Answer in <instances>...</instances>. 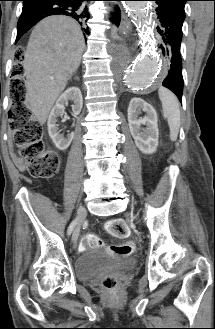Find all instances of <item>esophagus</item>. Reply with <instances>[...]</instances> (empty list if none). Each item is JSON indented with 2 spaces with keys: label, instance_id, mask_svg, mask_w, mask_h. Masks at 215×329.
<instances>
[{
  "label": "esophagus",
  "instance_id": "34e87169",
  "mask_svg": "<svg viewBox=\"0 0 215 329\" xmlns=\"http://www.w3.org/2000/svg\"><path fill=\"white\" fill-rule=\"evenodd\" d=\"M131 29H132V25L130 21L125 15H123L121 18L120 33L125 37H128Z\"/></svg>",
  "mask_w": 215,
  "mask_h": 329
}]
</instances>
